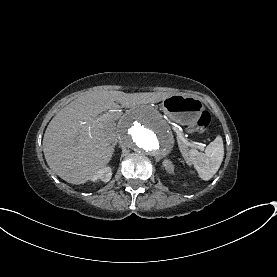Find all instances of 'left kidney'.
<instances>
[{"label":"left kidney","mask_w":277,"mask_h":277,"mask_svg":"<svg viewBox=\"0 0 277 277\" xmlns=\"http://www.w3.org/2000/svg\"><path fill=\"white\" fill-rule=\"evenodd\" d=\"M163 165L167 172H169V173L173 172V165L170 161H168V160L164 161Z\"/></svg>","instance_id":"obj_1"}]
</instances>
